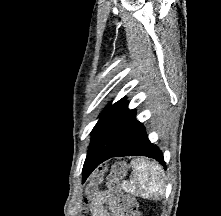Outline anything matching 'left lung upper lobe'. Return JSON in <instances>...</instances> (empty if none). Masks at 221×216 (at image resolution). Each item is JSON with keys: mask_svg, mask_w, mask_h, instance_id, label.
<instances>
[{"mask_svg": "<svg viewBox=\"0 0 221 216\" xmlns=\"http://www.w3.org/2000/svg\"><path fill=\"white\" fill-rule=\"evenodd\" d=\"M135 115V109H128L125 98L108 105L92 130L89 150L107 146L114 152L120 151L142 127Z\"/></svg>", "mask_w": 221, "mask_h": 216, "instance_id": "1", "label": "left lung upper lobe"}]
</instances>
